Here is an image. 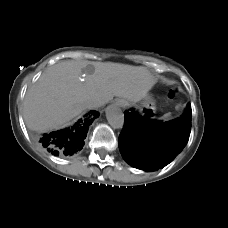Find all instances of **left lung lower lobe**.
<instances>
[{
	"label": "left lung lower lobe",
	"mask_w": 228,
	"mask_h": 228,
	"mask_svg": "<svg viewBox=\"0 0 228 228\" xmlns=\"http://www.w3.org/2000/svg\"><path fill=\"white\" fill-rule=\"evenodd\" d=\"M192 110L178 118L162 122L125 111V125L118 145L131 166L152 171L169 164L186 146L191 131Z\"/></svg>",
	"instance_id": "left-lung-lower-lobe-1"
}]
</instances>
